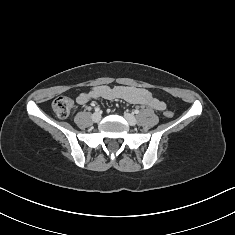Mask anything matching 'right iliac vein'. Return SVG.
Masks as SVG:
<instances>
[{
    "mask_svg": "<svg viewBox=\"0 0 235 235\" xmlns=\"http://www.w3.org/2000/svg\"><path fill=\"white\" fill-rule=\"evenodd\" d=\"M93 122H99L101 120V114L100 113H94L92 115Z\"/></svg>",
    "mask_w": 235,
    "mask_h": 235,
    "instance_id": "63e3f726",
    "label": "right iliac vein"
}]
</instances>
